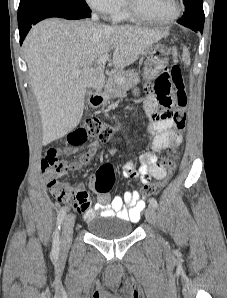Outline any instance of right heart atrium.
<instances>
[{"instance_id": "obj_1", "label": "right heart atrium", "mask_w": 227, "mask_h": 298, "mask_svg": "<svg viewBox=\"0 0 227 298\" xmlns=\"http://www.w3.org/2000/svg\"><path fill=\"white\" fill-rule=\"evenodd\" d=\"M86 3L104 16H112L121 7L122 0H85Z\"/></svg>"}]
</instances>
